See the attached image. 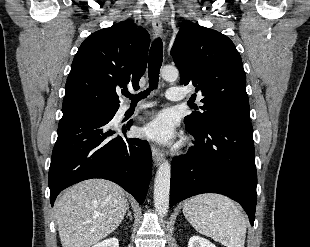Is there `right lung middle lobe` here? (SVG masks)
Listing matches in <instances>:
<instances>
[{"label": "right lung middle lobe", "instance_id": "obj_1", "mask_svg": "<svg viewBox=\"0 0 310 247\" xmlns=\"http://www.w3.org/2000/svg\"><path fill=\"white\" fill-rule=\"evenodd\" d=\"M117 110H106L97 108H78L70 111L63 112V117L67 116H77V115H88V114H100V113H110L115 114Z\"/></svg>", "mask_w": 310, "mask_h": 247}]
</instances>
